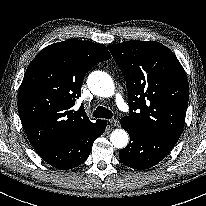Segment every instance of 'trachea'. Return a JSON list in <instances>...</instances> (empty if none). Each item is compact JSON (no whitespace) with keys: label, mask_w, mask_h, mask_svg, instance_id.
<instances>
[{"label":"trachea","mask_w":206,"mask_h":206,"mask_svg":"<svg viewBox=\"0 0 206 206\" xmlns=\"http://www.w3.org/2000/svg\"><path fill=\"white\" fill-rule=\"evenodd\" d=\"M93 116L97 117V118L112 119L113 113L111 110H109L103 106H98L96 108V110H94Z\"/></svg>","instance_id":"trachea-1"}]
</instances>
